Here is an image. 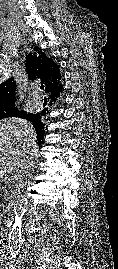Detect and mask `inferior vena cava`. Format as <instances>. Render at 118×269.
<instances>
[{"label":"inferior vena cava","mask_w":118,"mask_h":269,"mask_svg":"<svg viewBox=\"0 0 118 269\" xmlns=\"http://www.w3.org/2000/svg\"><path fill=\"white\" fill-rule=\"evenodd\" d=\"M34 157L28 152L26 156H24L21 164L19 165L18 173H17V181L19 184H22L24 179L27 177V174L31 167L33 166Z\"/></svg>","instance_id":"602c4592"}]
</instances>
